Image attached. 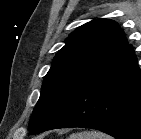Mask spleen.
Returning <instances> with one entry per match:
<instances>
[{"label":"spleen","mask_w":141,"mask_h":139,"mask_svg":"<svg viewBox=\"0 0 141 139\" xmlns=\"http://www.w3.org/2000/svg\"><path fill=\"white\" fill-rule=\"evenodd\" d=\"M69 139H112V137L97 131H83L73 133L69 136Z\"/></svg>","instance_id":"spleen-1"}]
</instances>
